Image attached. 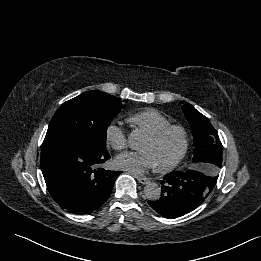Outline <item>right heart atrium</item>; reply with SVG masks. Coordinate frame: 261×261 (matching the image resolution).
<instances>
[{"instance_id":"obj_1","label":"right heart atrium","mask_w":261,"mask_h":261,"mask_svg":"<svg viewBox=\"0 0 261 261\" xmlns=\"http://www.w3.org/2000/svg\"><path fill=\"white\" fill-rule=\"evenodd\" d=\"M105 140L109 146L117 151L125 149L128 144L125 132L116 122H110L106 126Z\"/></svg>"}]
</instances>
